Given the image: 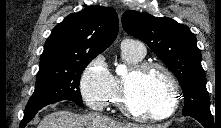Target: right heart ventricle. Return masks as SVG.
I'll return each mask as SVG.
<instances>
[{"label": "right heart ventricle", "instance_id": "obj_1", "mask_svg": "<svg viewBox=\"0 0 221 128\" xmlns=\"http://www.w3.org/2000/svg\"><path fill=\"white\" fill-rule=\"evenodd\" d=\"M121 56L125 63L133 68L134 66L142 63L144 56L139 55L135 51L129 48H121ZM113 77V84L114 90L111 94L108 95L106 98V107L108 108L110 104L114 106H119L120 103V94H121V87L123 78L118 75H112Z\"/></svg>", "mask_w": 221, "mask_h": 128}]
</instances>
